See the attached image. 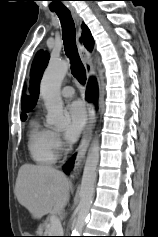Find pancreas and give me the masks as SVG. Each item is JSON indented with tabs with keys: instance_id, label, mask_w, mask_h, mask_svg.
Returning <instances> with one entry per match:
<instances>
[{
	"instance_id": "pancreas-1",
	"label": "pancreas",
	"mask_w": 158,
	"mask_h": 237,
	"mask_svg": "<svg viewBox=\"0 0 158 237\" xmlns=\"http://www.w3.org/2000/svg\"><path fill=\"white\" fill-rule=\"evenodd\" d=\"M45 235L46 236H58L62 235V231H60L58 228L52 227L51 221H47L46 228H45Z\"/></svg>"
}]
</instances>
